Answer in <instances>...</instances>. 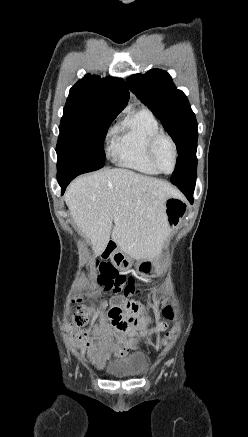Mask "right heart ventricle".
I'll return each mask as SVG.
<instances>
[{
	"label": "right heart ventricle",
	"mask_w": 248,
	"mask_h": 437,
	"mask_svg": "<svg viewBox=\"0 0 248 437\" xmlns=\"http://www.w3.org/2000/svg\"><path fill=\"white\" fill-rule=\"evenodd\" d=\"M160 131L155 115L146 108L130 113L114 131L111 155L115 162L125 168L146 175H158L148 157V143Z\"/></svg>",
	"instance_id": "e07e8e85"
}]
</instances>
